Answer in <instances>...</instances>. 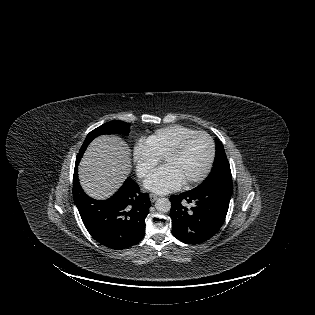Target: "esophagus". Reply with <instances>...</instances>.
<instances>
[{
    "label": "esophagus",
    "mask_w": 315,
    "mask_h": 315,
    "mask_svg": "<svg viewBox=\"0 0 315 315\" xmlns=\"http://www.w3.org/2000/svg\"><path fill=\"white\" fill-rule=\"evenodd\" d=\"M159 198V196H157L156 194H150V200L151 202H155L157 199Z\"/></svg>",
    "instance_id": "34e87169"
}]
</instances>
